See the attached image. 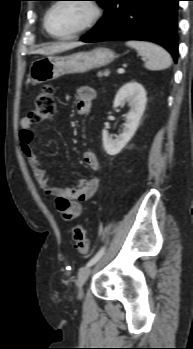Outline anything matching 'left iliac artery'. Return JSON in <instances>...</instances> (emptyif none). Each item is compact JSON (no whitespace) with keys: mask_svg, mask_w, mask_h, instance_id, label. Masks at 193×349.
<instances>
[{"mask_svg":"<svg viewBox=\"0 0 193 349\" xmlns=\"http://www.w3.org/2000/svg\"><path fill=\"white\" fill-rule=\"evenodd\" d=\"M105 252V247H102L87 263V266H91L95 264L104 254Z\"/></svg>","mask_w":193,"mask_h":349,"instance_id":"44dca946","label":"left iliac artery"}]
</instances>
